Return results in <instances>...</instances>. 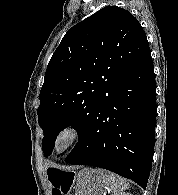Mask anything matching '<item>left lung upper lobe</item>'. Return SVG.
Here are the masks:
<instances>
[{
	"instance_id": "5c2ea615",
	"label": "left lung upper lobe",
	"mask_w": 178,
	"mask_h": 195,
	"mask_svg": "<svg viewBox=\"0 0 178 195\" xmlns=\"http://www.w3.org/2000/svg\"><path fill=\"white\" fill-rule=\"evenodd\" d=\"M150 53L140 23L120 7H104L73 26L52 55L40 91L44 155L68 126L80 140L101 103Z\"/></svg>"
}]
</instances>
